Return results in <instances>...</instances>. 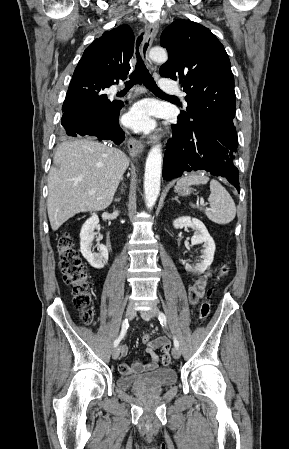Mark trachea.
Returning <instances> with one entry per match:
<instances>
[{
    "instance_id": "1",
    "label": "trachea",
    "mask_w": 289,
    "mask_h": 449,
    "mask_svg": "<svg viewBox=\"0 0 289 449\" xmlns=\"http://www.w3.org/2000/svg\"><path fill=\"white\" fill-rule=\"evenodd\" d=\"M143 39V35H140L137 38L136 42V58L137 63L134 72L130 75V79L125 82V89H130L133 87L134 84H142L148 88L150 91L154 93H161L164 94L162 90L156 85V82L154 81L153 77L149 73L148 69L146 68L140 53H139V46Z\"/></svg>"
}]
</instances>
